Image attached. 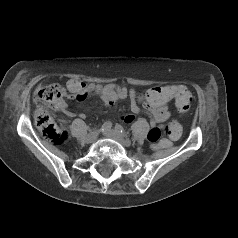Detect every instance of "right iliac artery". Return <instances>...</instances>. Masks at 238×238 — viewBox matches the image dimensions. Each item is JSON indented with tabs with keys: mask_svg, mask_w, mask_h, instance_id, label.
I'll return each instance as SVG.
<instances>
[{
	"mask_svg": "<svg viewBox=\"0 0 238 238\" xmlns=\"http://www.w3.org/2000/svg\"><path fill=\"white\" fill-rule=\"evenodd\" d=\"M112 127V123L110 121H106L103 125H102V131H106V130H110Z\"/></svg>",
	"mask_w": 238,
	"mask_h": 238,
	"instance_id": "1",
	"label": "right iliac artery"
}]
</instances>
